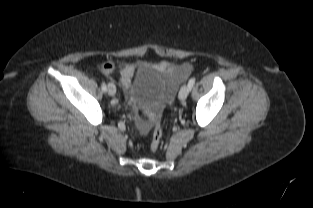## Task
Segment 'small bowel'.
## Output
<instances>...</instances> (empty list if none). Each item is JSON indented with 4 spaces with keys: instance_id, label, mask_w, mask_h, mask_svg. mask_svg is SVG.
Segmentation results:
<instances>
[{
    "instance_id": "1",
    "label": "small bowel",
    "mask_w": 313,
    "mask_h": 208,
    "mask_svg": "<svg viewBox=\"0 0 313 208\" xmlns=\"http://www.w3.org/2000/svg\"><path fill=\"white\" fill-rule=\"evenodd\" d=\"M152 67L155 70L164 73L173 86H177L192 71V66L188 63L176 66L170 62L162 61L152 65ZM135 70L136 66L133 64H127L119 69H117L112 62H106L101 66V72L104 75L109 76L117 72L119 75V82L123 87L129 85Z\"/></svg>"
}]
</instances>
